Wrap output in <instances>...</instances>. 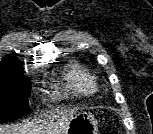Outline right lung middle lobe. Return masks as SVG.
I'll return each instance as SVG.
<instances>
[{"label": "right lung middle lobe", "mask_w": 153, "mask_h": 134, "mask_svg": "<svg viewBox=\"0 0 153 134\" xmlns=\"http://www.w3.org/2000/svg\"><path fill=\"white\" fill-rule=\"evenodd\" d=\"M30 79L21 77H0V124L30 113Z\"/></svg>", "instance_id": "1"}]
</instances>
